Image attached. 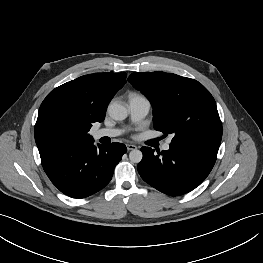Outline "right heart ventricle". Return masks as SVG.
<instances>
[{
    "label": "right heart ventricle",
    "mask_w": 263,
    "mask_h": 263,
    "mask_svg": "<svg viewBox=\"0 0 263 263\" xmlns=\"http://www.w3.org/2000/svg\"><path fill=\"white\" fill-rule=\"evenodd\" d=\"M137 94H133L132 96H136Z\"/></svg>",
    "instance_id": "1"
}]
</instances>
